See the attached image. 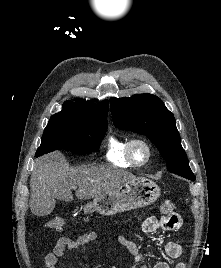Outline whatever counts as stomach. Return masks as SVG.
Returning <instances> with one entry per match:
<instances>
[{"label": "stomach", "instance_id": "0dacf381", "mask_svg": "<svg viewBox=\"0 0 221 268\" xmlns=\"http://www.w3.org/2000/svg\"><path fill=\"white\" fill-rule=\"evenodd\" d=\"M160 188L146 178H134L114 191L93 199L84 205L85 213L98 212L101 215H114L119 212L145 207L154 203L160 196Z\"/></svg>", "mask_w": 221, "mask_h": 268}]
</instances>
